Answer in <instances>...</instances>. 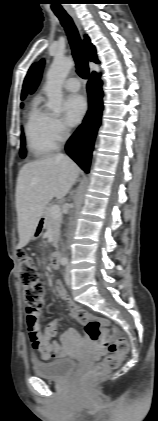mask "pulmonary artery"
<instances>
[{"mask_svg": "<svg viewBox=\"0 0 158 421\" xmlns=\"http://www.w3.org/2000/svg\"><path fill=\"white\" fill-rule=\"evenodd\" d=\"M63 86L68 91L77 92L80 89V81L76 77H71L64 82Z\"/></svg>", "mask_w": 158, "mask_h": 421, "instance_id": "e3ab8cb5", "label": "pulmonary artery"}]
</instances>
